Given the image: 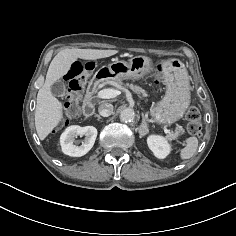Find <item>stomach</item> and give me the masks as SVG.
Wrapping results in <instances>:
<instances>
[{
  "label": "stomach",
  "instance_id": "stomach-1",
  "mask_svg": "<svg viewBox=\"0 0 236 236\" xmlns=\"http://www.w3.org/2000/svg\"><path fill=\"white\" fill-rule=\"evenodd\" d=\"M166 94L161 101L152 106L150 114L160 125H168L183 117L190 103L189 83L184 65L176 58L163 63ZM152 71L150 57L135 56L128 61L116 60L108 66L101 67L94 78L104 82L120 83L130 79L137 81Z\"/></svg>",
  "mask_w": 236,
  "mask_h": 236
}]
</instances>
